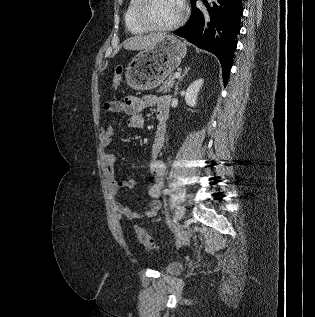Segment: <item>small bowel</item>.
<instances>
[{
	"label": "small bowel",
	"instance_id": "1",
	"mask_svg": "<svg viewBox=\"0 0 315 317\" xmlns=\"http://www.w3.org/2000/svg\"><path fill=\"white\" fill-rule=\"evenodd\" d=\"M169 96L145 95L143 97L128 96L123 101H111L104 105V110L109 113H121L128 115V127L132 129H141L144 127L143 111L148 107H154L158 125L155 132V141L150 152L148 169L153 174V181L148 185V193L151 198L148 208L142 212L131 210L123 203L117 201L115 204L116 211L119 215L128 220H140L154 217L161 208L159 199L163 187L164 176L166 173V164L159 159V152L163 145L166 133V120L169 115ZM114 128L109 125L103 128L99 134L101 145L108 147L113 142ZM106 168L112 178L110 191L117 195L121 189H133L136 185L134 179L116 180L114 179V166L116 157L113 153H106L104 156Z\"/></svg>",
	"mask_w": 315,
	"mask_h": 317
}]
</instances>
